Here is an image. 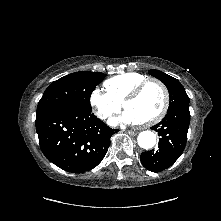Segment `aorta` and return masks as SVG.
Listing matches in <instances>:
<instances>
[{"instance_id": "aorta-1", "label": "aorta", "mask_w": 221, "mask_h": 221, "mask_svg": "<svg viewBox=\"0 0 221 221\" xmlns=\"http://www.w3.org/2000/svg\"><path fill=\"white\" fill-rule=\"evenodd\" d=\"M138 145L143 149H151L156 144V135L152 131H143L138 135Z\"/></svg>"}]
</instances>
